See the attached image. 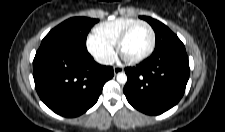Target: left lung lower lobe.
<instances>
[{
	"label": "left lung lower lobe",
	"instance_id": "left-lung-lower-lobe-1",
	"mask_svg": "<svg viewBox=\"0 0 225 132\" xmlns=\"http://www.w3.org/2000/svg\"><path fill=\"white\" fill-rule=\"evenodd\" d=\"M128 80L124 94L137 110L159 115L182 98L189 78V61L184 45L174 46L125 69Z\"/></svg>",
	"mask_w": 225,
	"mask_h": 132
}]
</instances>
